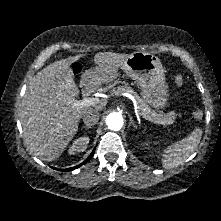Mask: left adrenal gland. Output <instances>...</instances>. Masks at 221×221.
I'll list each match as a JSON object with an SVG mask.
<instances>
[{
	"instance_id": "a2214340",
	"label": "left adrenal gland",
	"mask_w": 221,
	"mask_h": 221,
	"mask_svg": "<svg viewBox=\"0 0 221 221\" xmlns=\"http://www.w3.org/2000/svg\"><path fill=\"white\" fill-rule=\"evenodd\" d=\"M129 119H130L129 127L133 126L134 128H137V126L135 125V122H134V120H133L131 115H129Z\"/></svg>"
}]
</instances>
